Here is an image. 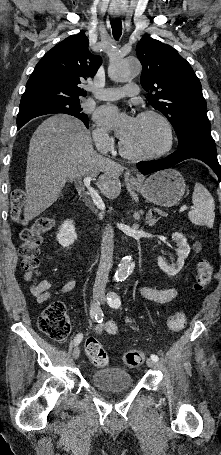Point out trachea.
<instances>
[{
	"label": "trachea",
	"mask_w": 221,
	"mask_h": 455,
	"mask_svg": "<svg viewBox=\"0 0 221 455\" xmlns=\"http://www.w3.org/2000/svg\"><path fill=\"white\" fill-rule=\"evenodd\" d=\"M112 33L116 40H118L122 34V22L121 20L111 21Z\"/></svg>",
	"instance_id": "trachea-1"
}]
</instances>
